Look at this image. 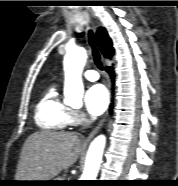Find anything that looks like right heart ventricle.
<instances>
[{
    "label": "right heart ventricle",
    "instance_id": "1",
    "mask_svg": "<svg viewBox=\"0 0 178 186\" xmlns=\"http://www.w3.org/2000/svg\"><path fill=\"white\" fill-rule=\"evenodd\" d=\"M71 109L59 98L56 88L49 89L35 108V123L50 132L61 131L70 124Z\"/></svg>",
    "mask_w": 178,
    "mask_h": 186
}]
</instances>
